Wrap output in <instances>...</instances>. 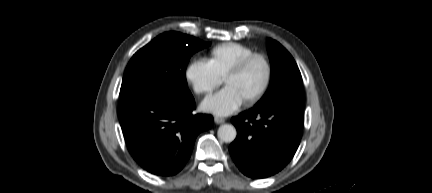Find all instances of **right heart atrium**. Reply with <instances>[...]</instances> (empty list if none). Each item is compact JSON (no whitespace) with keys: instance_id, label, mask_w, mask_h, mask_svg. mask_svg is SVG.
<instances>
[{"instance_id":"1","label":"right heart atrium","mask_w":432,"mask_h":193,"mask_svg":"<svg viewBox=\"0 0 432 193\" xmlns=\"http://www.w3.org/2000/svg\"><path fill=\"white\" fill-rule=\"evenodd\" d=\"M186 78L193 91L204 96L210 95L220 84V78L205 62L191 63L186 70Z\"/></svg>"}]
</instances>
